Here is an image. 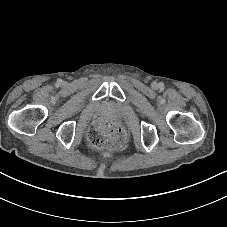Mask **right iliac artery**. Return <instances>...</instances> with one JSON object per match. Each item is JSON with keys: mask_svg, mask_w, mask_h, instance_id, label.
Instances as JSON below:
<instances>
[{"mask_svg": "<svg viewBox=\"0 0 227 227\" xmlns=\"http://www.w3.org/2000/svg\"><path fill=\"white\" fill-rule=\"evenodd\" d=\"M61 82H62V80H61V79L57 80V83H58V84H61Z\"/></svg>", "mask_w": 227, "mask_h": 227, "instance_id": "82829eb1", "label": "right iliac artery"}]
</instances>
